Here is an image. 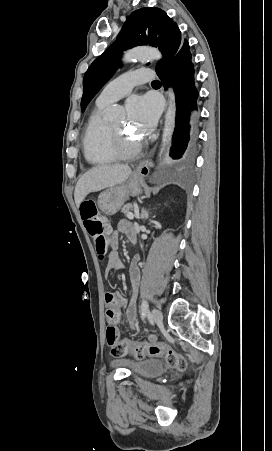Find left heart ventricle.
<instances>
[{
	"instance_id": "b2bd125f",
	"label": "left heart ventricle",
	"mask_w": 272,
	"mask_h": 451,
	"mask_svg": "<svg viewBox=\"0 0 272 451\" xmlns=\"http://www.w3.org/2000/svg\"><path fill=\"white\" fill-rule=\"evenodd\" d=\"M111 126L117 134L123 135L122 134L123 126H124L123 120L116 122V123L112 124Z\"/></svg>"
}]
</instances>
